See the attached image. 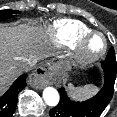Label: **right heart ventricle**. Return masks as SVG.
I'll list each match as a JSON object with an SVG mask.
<instances>
[{"mask_svg":"<svg viewBox=\"0 0 117 117\" xmlns=\"http://www.w3.org/2000/svg\"><path fill=\"white\" fill-rule=\"evenodd\" d=\"M92 31L86 24L73 19H60L50 28V36L60 46H73L78 37Z\"/></svg>","mask_w":117,"mask_h":117,"instance_id":"right-heart-ventricle-1","label":"right heart ventricle"}]
</instances>
